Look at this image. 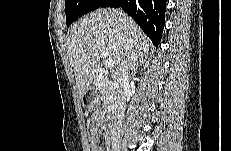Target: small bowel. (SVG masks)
Returning a JSON list of instances; mask_svg holds the SVG:
<instances>
[{"label": "small bowel", "mask_w": 231, "mask_h": 151, "mask_svg": "<svg viewBox=\"0 0 231 151\" xmlns=\"http://www.w3.org/2000/svg\"><path fill=\"white\" fill-rule=\"evenodd\" d=\"M100 114L95 113L91 116L88 122V132L90 137V151H110L109 148V134L105 131L103 134L100 129L97 127L96 122L99 120ZM104 136L106 139V146L103 147L100 145V137Z\"/></svg>", "instance_id": "c3829d8e"}]
</instances>
